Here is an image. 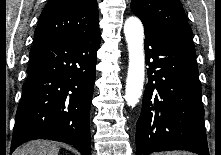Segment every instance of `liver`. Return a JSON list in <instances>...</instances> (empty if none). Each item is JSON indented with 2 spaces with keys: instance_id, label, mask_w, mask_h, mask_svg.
<instances>
[{
  "instance_id": "1",
  "label": "liver",
  "mask_w": 221,
  "mask_h": 155,
  "mask_svg": "<svg viewBox=\"0 0 221 155\" xmlns=\"http://www.w3.org/2000/svg\"><path fill=\"white\" fill-rule=\"evenodd\" d=\"M59 145L48 140H34L19 147L14 155H58Z\"/></svg>"
}]
</instances>
